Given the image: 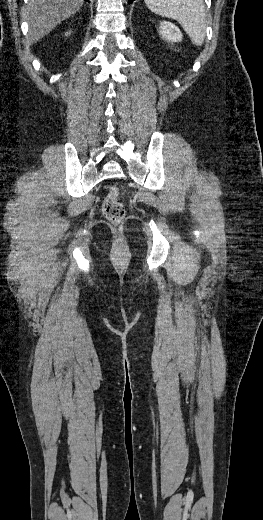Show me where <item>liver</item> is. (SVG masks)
<instances>
[{"instance_id": "1", "label": "liver", "mask_w": 263, "mask_h": 520, "mask_svg": "<svg viewBox=\"0 0 263 520\" xmlns=\"http://www.w3.org/2000/svg\"><path fill=\"white\" fill-rule=\"evenodd\" d=\"M82 6L83 0H28L25 9L29 24L27 40L29 43L39 41Z\"/></svg>"}]
</instances>
